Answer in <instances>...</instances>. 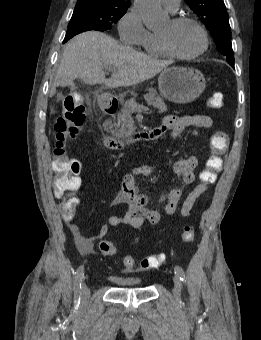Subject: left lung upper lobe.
I'll return each mask as SVG.
<instances>
[{
    "label": "left lung upper lobe",
    "instance_id": "5c2ea615",
    "mask_svg": "<svg viewBox=\"0 0 261 340\" xmlns=\"http://www.w3.org/2000/svg\"><path fill=\"white\" fill-rule=\"evenodd\" d=\"M211 33L221 54L234 63L229 17L223 0H185Z\"/></svg>",
    "mask_w": 261,
    "mask_h": 340
}]
</instances>
